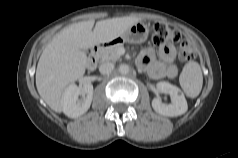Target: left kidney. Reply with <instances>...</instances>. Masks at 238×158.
<instances>
[{"label": "left kidney", "instance_id": "obj_1", "mask_svg": "<svg viewBox=\"0 0 238 158\" xmlns=\"http://www.w3.org/2000/svg\"><path fill=\"white\" fill-rule=\"evenodd\" d=\"M159 92H164L170 95L171 103H163L161 99L154 98L152 100L153 109L164 116L175 117L184 114L187 109V101L183 92L175 85L166 81L158 82L156 85Z\"/></svg>", "mask_w": 238, "mask_h": 158}]
</instances>
